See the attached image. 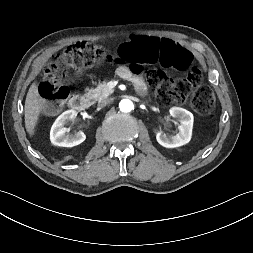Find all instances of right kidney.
<instances>
[{"mask_svg": "<svg viewBox=\"0 0 253 253\" xmlns=\"http://www.w3.org/2000/svg\"><path fill=\"white\" fill-rule=\"evenodd\" d=\"M76 116L77 112L75 110H67L55 120L50 131V141L53 145L73 147L85 141L86 135L82 131L69 135L68 129L64 127L66 123L75 119Z\"/></svg>", "mask_w": 253, "mask_h": 253, "instance_id": "1", "label": "right kidney"}]
</instances>
